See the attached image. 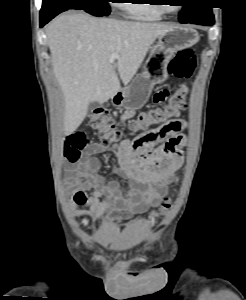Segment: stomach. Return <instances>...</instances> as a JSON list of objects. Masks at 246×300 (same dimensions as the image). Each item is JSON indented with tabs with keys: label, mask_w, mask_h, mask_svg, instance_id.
Here are the masks:
<instances>
[{
	"label": "stomach",
	"mask_w": 246,
	"mask_h": 300,
	"mask_svg": "<svg viewBox=\"0 0 246 300\" xmlns=\"http://www.w3.org/2000/svg\"><path fill=\"white\" fill-rule=\"evenodd\" d=\"M198 32L191 27L173 26L154 43L146 61L145 71L137 75L130 85L111 97L116 107L140 109L148 101L155 84L167 78L169 59L179 50L191 47L199 41Z\"/></svg>",
	"instance_id": "0dacf381"
}]
</instances>
